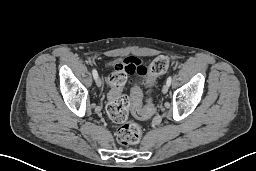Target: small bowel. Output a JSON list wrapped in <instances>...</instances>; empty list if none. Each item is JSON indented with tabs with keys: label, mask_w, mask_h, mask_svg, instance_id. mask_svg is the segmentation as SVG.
I'll use <instances>...</instances> for the list:
<instances>
[{
	"label": "small bowel",
	"mask_w": 256,
	"mask_h": 171,
	"mask_svg": "<svg viewBox=\"0 0 256 171\" xmlns=\"http://www.w3.org/2000/svg\"><path fill=\"white\" fill-rule=\"evenodd\" d=\"M115 70H122L125 73L126 79L128 76H133L135 74L144 76L148 74V68L144 62L135 56H128L121 61H117L113 64ZM153 112V111H152ZM151 114L142 117L141 119H146Z\"/></svg>",
	"instance_id": "small-bowel-1"
}]
</instances>
